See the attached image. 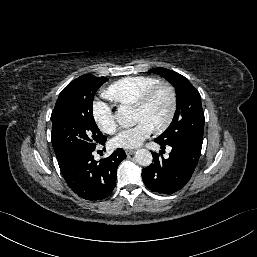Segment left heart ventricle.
<instances>
[{
    "label": "left heart ventricle",
    "mask_w": 257,
    "mask_h": 257,
    "mask_svg": "<svg viewBox=\"0 0 257 257\" xmlns=\"http://www.w3.org/2000/svg\"><path fill=\"white\" fill-rule=\"evenodd\" d=\"M170 107V98L166 90H160L143 110H134L135 122L144 121L152 129L160 126L166 119Z\"/></svg>",
    "instance_id": "obj_1"
}]
</instances>
